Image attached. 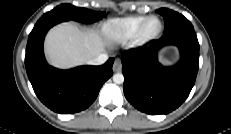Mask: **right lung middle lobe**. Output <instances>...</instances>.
Segmentation results:
<instances>
[{
  "instance_id": "right-lung-middle-lobe-1",
  "label": "right lung middle lobe",
  "mask_w": 231,
  "mask_h": 134,
  "mask_svg": "<svg viewBox=\"0 0 231 134\" xmlns=\"http://www.w3.org/2000/svg\"><path fill=\"white\" fill-rule=\"evenodd\" d=\"M105 16L104 12L91 11L85 8L74 7L70 4H62L52 11L45 13L37 23L52 21L76 20L83 23H93Z\"/></svg>"
}]
</instances>
